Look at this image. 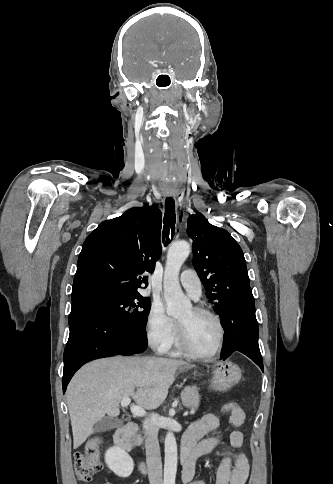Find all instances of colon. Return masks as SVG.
Instances as JSON below:
<instances>
[{"mask_svg":"<svg viewBox=\"0 0 333 484\" xmlns=\"http://www.w3.org/2000/svg\"><path fill=\"white\" fill-rule=\"evenodd\" d=\"M239 408L235 402H228L223 405L222 412L227 414ZM100 438L90 439L85 446L84 451L74 454V467L79 480L90 482L95 479L101 470L100 463Z\"/></svg>","mask_w":333,"mask_h":484,"instance_id":"colon-1","label":"colon"}]
</instances>
